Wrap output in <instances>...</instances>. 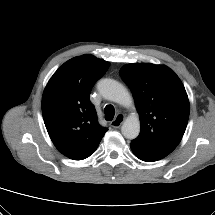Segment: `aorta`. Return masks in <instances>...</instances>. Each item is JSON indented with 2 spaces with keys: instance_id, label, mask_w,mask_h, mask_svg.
<instances>
[{
  "instance_id": "obj_1",
  "label": "aorta",
  "mask_w": 215,
  "mask_h": 215,
  "mask_svg": "<svg viewBox=\"0 0 215 215\" xmlns=\"http://www.w3.org/2000/svg\"><path fill=\"white\" fill-rule=\"evenodd\" d=\"M98 91L103 98L118 103L125 107L133 104L132 97L127 89L114 79L105 78L98 82ZM121 132L125 138L135 139L140 132V120L136 113L127 117L124 121Z\"/></svg>"
}]
</instances>
